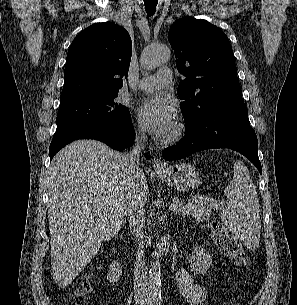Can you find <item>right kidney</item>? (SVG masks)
Masks as SVG:
<instances>
[{"label": "right kidney", "mask_w": 297, "mask_h": 305, "mask_svg": "<svg viewBox=\"0 0 297 305\" xmlns=\"http://www.w3.org/2000/svg\"><path fill=\"white\" fill-rule=\"evenodd\" d=\"M122 274V267L119 262L114 261L109 266L108 274H107V280L110 283H115L119 280L120 276Z\"/></svg>", "instance_id": "ca27d5eb"}]
</instances>
